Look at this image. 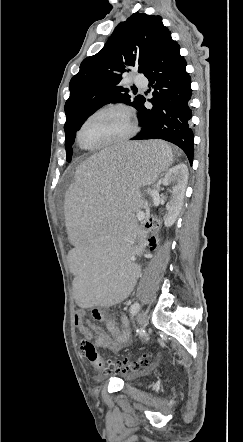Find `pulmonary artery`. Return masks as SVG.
<instances>
[{
    "label": "pulmonary artery",
    "instance_id": "obj_1",
    "mask_svg": "<svg viewBox=\"0 0 243 442\" xmlns=\"http://www.w3.org/2000/svg\"><path fill=\"white\" fill-rule=\"evenodd\" d=\"M135 83L140 88H145L147 86V81L143 79H135Z\"/></svg>",
    "mask_w": 243,
    "mask_h": 442
}]
</instances>
